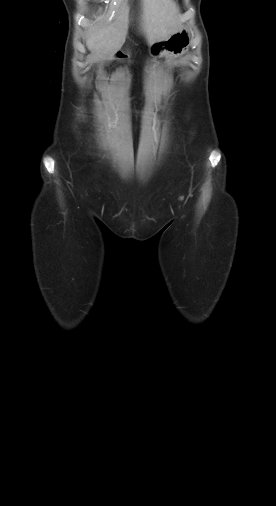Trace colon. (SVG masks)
Masks as SVG:
<instances>
[{"label": "colon", "mask_w": 276, "mask_h": 506, "mask_svg": "<svg viewBox=\"0 0 276 506\" xmlns=\"http://www.w3.org/2000/svg\"><path fill=\"white\" fill-rule=\"evenodd\" d=\"M123 55H124V54H123V52H122L121 50H114V51L112 52V57H113L114 59H121V58L123 57Z\"/></svg>", "instance_id": "obj_1"}]
</instances>
